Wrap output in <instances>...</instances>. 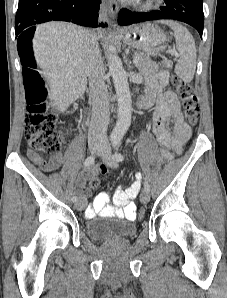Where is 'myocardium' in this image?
<instances>
[{
	"label": "myocardium",
	"instance_id": "1",
	"mask_svg": "<svg viewBox=\"0 0 227 298\" xmlns=\"http://www.w3.org/2000/svg\"><path fill=\"white\" fill-rule=\"evenodd\" d=\"M155 0H148L147 3L144 4V7L150 8L153 6Z\"/></svg>",
	"mask_w": 227,
	"mask_h": 298
}]
</instances>
